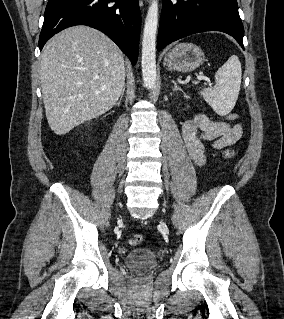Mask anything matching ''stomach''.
Listing matches in <instances>:
<instances>
[{
  "label": "stomach",
  "instance_id": "1",
  "mask_svg": "<svg viewBox=\"0 0 284 319\" xmlns=\"http://www.w3.org/2000/svg\"><path fill=\"white\" fill-rule=\"evenodd\" d=\"M204 61L205 55L200 47L192 43H179L166 53L164 66L170 71L186 73L197 69Z\"/></svg>",
  "mask_w": 284,
  "mask_h": 319
}]
</instances>
